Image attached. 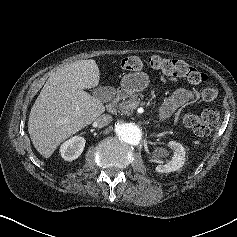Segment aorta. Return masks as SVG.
<instances>
[{
	"mask_svg": "<svg viewBox=\"0 0 237 237\" xmlns=\"http://www.w3.org/2000/svg\"><path fill=\"white\" fill-rule=\"evenodd\" d=\"M116 135L126 143L136 145L141 140V129L133 123H117L115 125Z\"/></svg>",
	"mask_w": 237,
	"mask_h": 237,
	"instance_id": "obj_1",
	"label": "aorta"
}]
</instances>
